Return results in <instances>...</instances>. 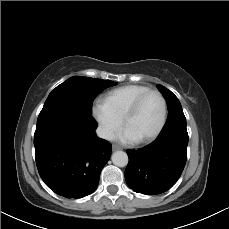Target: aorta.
Instances as JSON below:
<instances>
[{
  "label": "aorta",
  "instance_id": "aorta-1",
  "mask_svg": "<svg viewBox=\"0 0 229 229\" xmlns=\"http://www.w3.org/2000/svg\"><path fill=\"white\" fill-rule=\"evenodd\" d=\"M112 162L118 167H125L128 164V156L123 151H116L112 155Z\"/></svg>",
  "mask_w": 229,
  "mask_h": 229
}]
</instances>
